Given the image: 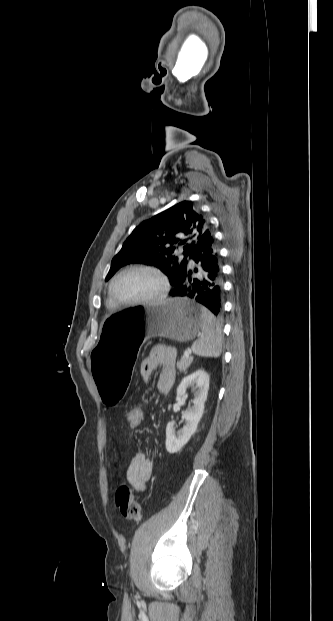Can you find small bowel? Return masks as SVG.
I'll use <instances>...</instances> for the list:
<instances>
[{
  "label": "small bowel",
  "mask_w": 333,
  "mask_h": 621,
  "mask_svg": "<svg viewBox=\"0 0 333 621\" xmlns=\"http://www.w3.org/2000/svg\"><path fill=\"white\" fill-rule=\"evenodd\" d=\"M176 352L174 349L162 346L154 347L141 365V375L144 380H149L155 369L161 368L157 390L165 394L172 388L175 371ZM154 469V460L146 453L139 452L131 460L126 476L128 482L137 491H144L146 483L150 479Z\"/></svg>",
  "instance_id": "small-bowel-1"
}]
</instances>
